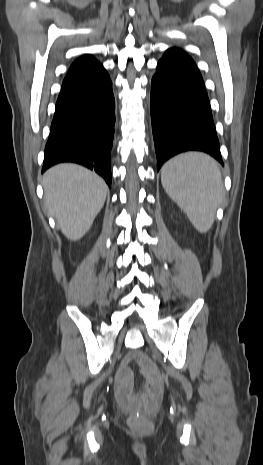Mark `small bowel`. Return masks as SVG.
I'll return each mask as SVG.
<instances>
[{
	"label": "small bowel",
	"mask_w": 263,
	"mask_h": 465,
	"mask_svg": "<svg viewBox=\"0 0 263 465\" xmlns=\"http://www.w3.org/2000/svg\"><path fill=\"white\" fill-rule=\"evenodd\" d=\"M134 360L133 356H129L120 367L116 378V395L123 404H130L138 397L133 393V372L129 367V363ZM148 381H157L155 374H148Z\"/></svg>",
	"instance_id": "c3829d8e"
}]
</instances>
